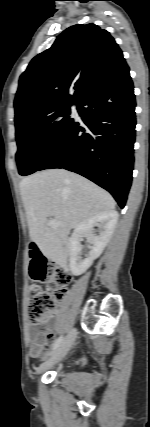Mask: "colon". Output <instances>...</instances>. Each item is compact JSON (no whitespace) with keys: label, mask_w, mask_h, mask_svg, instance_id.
Here are the masks:
<instances>
[{"label":"colon","mask_w":150,"mask_h":427,"mask_svg":"<svg viewBox=\"0 0 150 427\" xmlns=\"http://www.w3.org/2000/svg\"><path fill=\"white\" fill-rule=\"evenodd\" d=\"M29 259L30 276L35 283L28 290L27 316L32 324H45L57 313L72 277L65 268L48 260L35 243L30 245ZM38 282L46 283L48 289L43 290Z\"/></svg>","instance_id":"5ec220e1"}]
</instances>
